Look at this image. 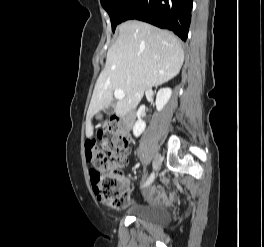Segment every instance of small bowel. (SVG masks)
<instances>
[{"mask_svg": "<svg viewBox=\"0 0 264 247\" xmlns=\"http://www.w3.org/2000/svg\"><path fill=\"white\" fill-rule=\"evenodd\" d=\"M144 199L147 202H169L170 199L165 197L164 189L161 186H154L148 189L145 193Z\"/></svg>", "mask_w": 264, "mask_h": 247, "instance_id": "small-bowel-1", "label": "small bowel"}]
</instances>
